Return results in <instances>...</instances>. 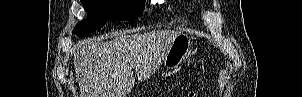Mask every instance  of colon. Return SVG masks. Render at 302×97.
<instances>
[{"label":"colon","instance_id":"colon-1","mask_svg":"<svg viewBox=\"0 0 302 97\" xmlns=\"http://www.w3.org/2000/svg\"><path fill=\"white\" fill-rule=\"evenodd\" d=\"M194 96H195L194 93L189 94V97H194Z\"/></svg>","mask_w":302,"mask_h":97}]
</instances>
